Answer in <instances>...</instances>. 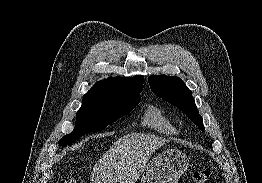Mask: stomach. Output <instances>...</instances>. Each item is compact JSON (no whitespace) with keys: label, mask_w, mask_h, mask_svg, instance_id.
<instances>
[{"label":"stomach","mask_w":262,"mask_h":183,"mask_svg":"<svg viewBox=\"0 0 262 183\" xmlns=\"http://www.w3.org/2000/svg\"><path fill=\"white\" fill-rule=\"evenodd\" d=\"M188 165L187 156L180 150L167 149L147 165L140 183H178Z\"/></svg>","instance_id":"stomach-1"}]
</instances>
